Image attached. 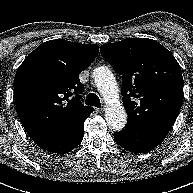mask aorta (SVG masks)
I'll return each mask as SVG.
<instances>
[{
  "label": "aorta",
  "mask_w": 193,
  "mask_h": 193,
  "mask_svg": "<svg viewBox=\"0 0 193 193\" xmlns=\"http://www.w3.org/2000/svg\"><path fill=\"white\" fill-rule=\"evenodd\" d=\"M93 79L104 100L107 102L105 119L109 127L119 131L126 125L127 114L118 101V87L112 71L106 66L96 67Z\"/></svg>",
  "instance_id": "aorta-1"
}]
</instances>
